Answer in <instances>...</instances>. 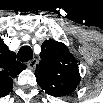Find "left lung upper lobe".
I'll list each match as a JSON object with an SVG mask.
<instances>
[{"label": "left lung upper lobe", "mask_w": 103, "mask_h": 103, "mask_svg": "<svg viewBox=\"0 0 103 103\" xmlns=\"http://www.w3.org/2000/svg\"><path fill=\"white\" fill-rule=\"evenodd\" d=\"M41 62L36 69L37 83L46 93L60 97L72 93L80 83L75 57L61 42L47 40L42 44Z\"/></svg>", "instance_id": "1"}]
</instances>
